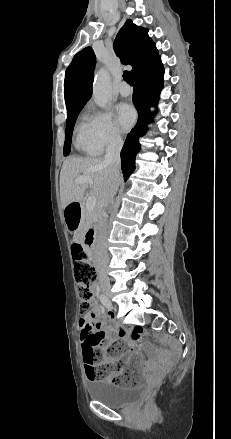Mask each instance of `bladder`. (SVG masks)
Wrapping results in <instances>:
<instances>
[{
	"label": "bladder",
	"instance_id": "1",
	"mask_svg": "<svg viewBox=\"0 0 231 439\" xmlns=\"http://www.w3.org/2000/svg\"><path fill=\"white\" fill-rule=\"evenodd\" d=\"M141 392V388L137 386L125 387L106 381L93 382L88 386L90 398L113 408L122 407L138 399Z\"/></svg>",
	"mask_w": 231,
	"mask_h": 439
}]
</instances>
